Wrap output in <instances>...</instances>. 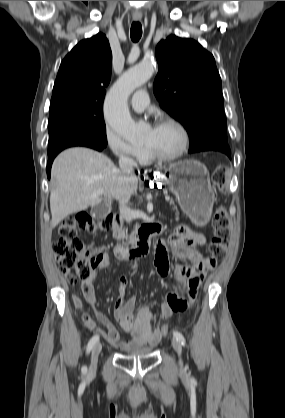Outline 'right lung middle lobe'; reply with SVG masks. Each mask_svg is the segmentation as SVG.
Instances as JSON below:
<instances>
[{
  "label": "right lung middle lobe",
  "mask_w": 285,
  "mask_h": 418,
  "mask_svg": "<svg viewBox=\"0 0 285 418\" xmlns=\"http://www.w3.org/2000/svg\"><path fill=\"white\" fill-rule=\"evenodd\" d=\"M48 131V156L77 141H93L106 146L103 105L74 102L50 104Z\"/></svg>",
  "instance_id": "obj_1"
}]
</instances>
